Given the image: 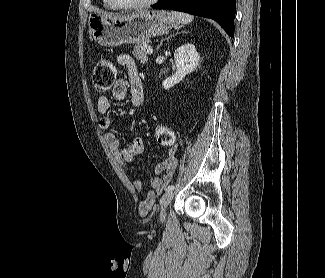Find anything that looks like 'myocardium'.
<instances>
[{
	"instance_id": "obj_1",
	"label": "myocardium",
	"mask_w": 325,
	"mask_h": 278,
	"mask_svg": "<svg viewBox=\"0 0 325 278\" xmlns=\"http://www.w3.org/2000/svg\"><path fill=\"white\" fill-rule=\"evenodd\" d=\"M117 8L120 9H143L150 7L157 3L159 0H146L140 3H126L122 0H110Z\"/></svg>"
}]
</instances>
